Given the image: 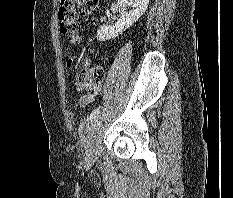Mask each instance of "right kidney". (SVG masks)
<instances>
[{"label":"right kidney","mask_w":233,"mask_h":198,"mask_svg":"<svg viewBox=\"0 0 233 198\" xmlns=\"http://www.w3.org/2000/svg\"><path fill=\"white\" fill-rule=\"evenodd\" d=\"M150 0H118L117 7L121 11L120 19L113 26H101L97 31L99 41L118 37L130 28L147 10ZM127 7L132 9L127 10Z\"/></svg>","instance_id":"obj_1"}]
</instances>
